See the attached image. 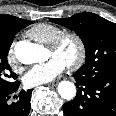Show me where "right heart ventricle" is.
Listing matches in <instances>:
<instances>
[{
  "label": "right heart ventricle",
  "instance_id": "1",
  "mask_svg": "<svg viewBox=\"0 0 116 116\" xmlns=\"http://www.w3.org/2000/svg\"><path fill=\"white\" fill-rule=\"evenodd\" d=\"M62 32L64 30L55 24L38 23L28 29L27 35L37 42L49 45Z\"/></svg>",
  "mask_w": 116,
  "mask_h": 116
}]
</instances>
